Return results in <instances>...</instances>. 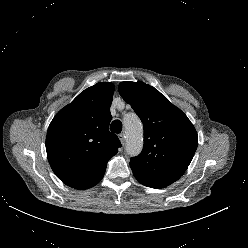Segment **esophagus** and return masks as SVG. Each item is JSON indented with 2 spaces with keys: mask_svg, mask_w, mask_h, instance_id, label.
<instances>
[{
  "mask_svg": "<svg viewBox=\"0 0 248 248\" xmlns=\"http://www.w3.org/2000/svg\"><path fill=\"white\" fill-rule=\"evenodd\" d=\"M118 138H119L121 144L124 145L125 144V135L123 133H121L118 135Z\"/></svg>",
  "mask_w": 248,
  "mask_h": 248,
  "instance_id": "obj_1",
  "label": "esophagus"
}]
</instances>
